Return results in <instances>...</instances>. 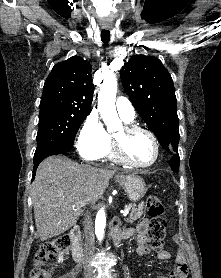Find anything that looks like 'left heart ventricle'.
<instances>
[{"label":"left heart ventricle","instance_id":"left-heart-ventricle-1","mask_svg":"<svg viewBox=\"0 0 221 278\" xmlns=\"http://www.w3.org/2000/svg\"><path fill=\"white\" fill-rule=\"evenodd\" d=\"M122 144L124 154L136 164H149L155 156L154 145L151 138L144 132L127 135L124 129L114 134Z\"/></svg>","mask_w":221,"mask_h":278}]
</instances>
